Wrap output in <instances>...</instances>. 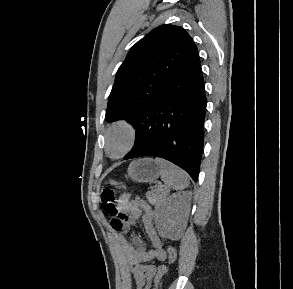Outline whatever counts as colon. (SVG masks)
Wrapping results in <instances>:
<instances>
[{"label":"colon","mask_w":293,"mask_h":289,"mask_svg":"<svg viewBox=\"0 0 293 289\" xmlns=\"http://www.w3.org/2000/svg\"><path fill=\"white\" fill-rule=\"evenodd\" d=\"M111 187H106L103 189L101 193V204L103 211L105 214L111 216V218H117L121 216L119 206L116 199V192L115 189H125L126 186L118 181H111L110 182ZM116 229L123 228V224L116 223L115 225ZM168 252V264L171 265L176 261L177 258V252L173 245H168L167 247ZM168 272V266H162L158 273L156 274L155 278L153 279L152 283L154 285V289H158L163 282L164 277L166 276Z\"/></svg>","instance_id":"colon-1"}]
</instances>
